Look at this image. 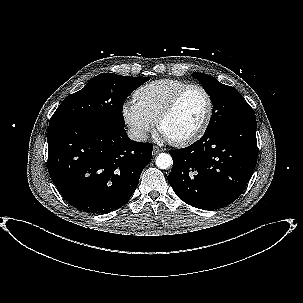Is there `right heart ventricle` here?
<instances>
[{
	"mask_svg": "<svg viewBox=\"0 0 303 303\" xmlns=\"http://www.w3.org/2000/svg\"><path fill=\"white\" fill-rule=\"evenodd\" d=\"M187 85V82L175 79L153 81L135 92V101L153 121H156L172 97Z\"/></svg>",
	"mask_w": 303,
	"mask_h": 303,
	"instance_id": "obj_1",
	"label": "right heart ventricle"
}]
</instances>
